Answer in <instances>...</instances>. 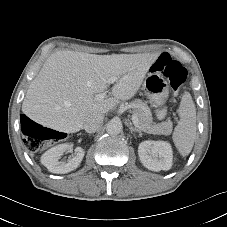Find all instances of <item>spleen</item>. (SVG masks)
Instances as JSON below:
<instances>
[{
    "instance_id": "3e777b00",
    "label": "spleen",
    "mask_w": 227,
    "mask_h": 227,
    "mask_svg": "<svg viewBox=\"0 0 227 227\" xmlns=\"http://www.w3.org/2000/svg\"><path fill=\"white\" fill-rule=\"evenodd\" d=\"M178 111L180 120L172 138L180 154L185 157L191 152L196 137V108L190 93L183 94Z\"/></svg>"
}]
</instances>
